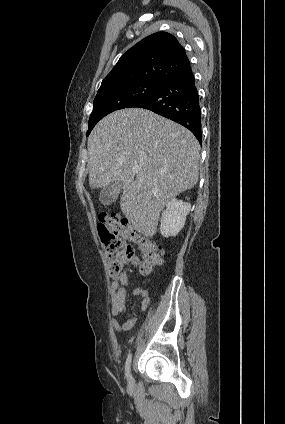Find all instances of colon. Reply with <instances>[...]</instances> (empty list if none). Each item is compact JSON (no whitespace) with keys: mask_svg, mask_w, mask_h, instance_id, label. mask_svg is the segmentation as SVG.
<instances>
[{"mask_svg":"<svg viewBox=\"0 0 285 424\" xmlns=\"http://www.w3.org/2000/svg\"><path fill=\"white\" fill-rule=\"evenodd\" d=\"M97 231L104 244L105 256L113 277L118 276L123 266L128 263L136 265L144 275L152 273L155 268L162 265L161 248L124 218L113 214L103 215L99 218ZM130 243L139 246L142 253L141 260L134 255Z\"/></svg>","mask_w":285,"mask_h":424,"instance_id":"colon-1","label":"colon"}]
</instances>
